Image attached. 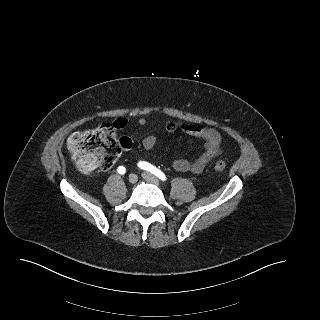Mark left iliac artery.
Returning <instances> with one entry per match:
<instances>
[{"mask_svg": "<svg viewBox=\"0 0 320 320\" xmlns=\"http://www.w3.org/2000/svg\"><path fill=\"white\" fill-rule=\"evenodd\" d=\"M138 166L144 170L150 171L151 173H153L154 175H156L159 179H161L162 181H166V175L159 170L158 168H156L155 166L151 165L148 162L145 161H140L138 163Z\"/></svg>", "mask_w": 320, "mask_h": 320, "instance_id": "1", "label": "left iliac artery"}]
</instances>
